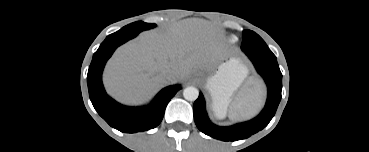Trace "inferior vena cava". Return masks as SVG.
<instances>
[{
	"label": "inferior vena cava",
	"instance_id": "602c4592",
	"mask_svg": "<svg viewBox=\"0 0 369 152\" xmlns=\"http://www.w3.org/2000/svg\"><path fill=\"white\" fill-rule=\"evenodd\" d=\"M172 75H173V71L168 70V71H167V77H168V78H170Z\"/></svg>",
	"mask_w": 369,
	"mask_h": 152
}]
</instances>
